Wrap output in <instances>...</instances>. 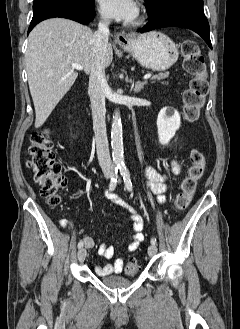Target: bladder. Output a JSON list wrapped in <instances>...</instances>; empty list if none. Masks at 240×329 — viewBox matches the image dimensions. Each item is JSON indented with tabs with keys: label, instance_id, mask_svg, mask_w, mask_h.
Segmentation results:
<instances>
[{
	"label": "bladder",
	"instance_id": "1",
	"mask_svg": "<svg viewBox=\"0 0 240 329\" xmlns=\"http://www.w3.org/2000/svg\"><path fill=\"white\" fill-rule=\"evenodd\" d=\"M133 279L129 277L113 275L102 278L101 282L111 288H122L130 285Z\"/></svg>",
	"mask_w": 240,
	"mask_h": 329
}]
</instances>
